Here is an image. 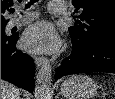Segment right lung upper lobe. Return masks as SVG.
Here are the masks:
<instances>
[{"mask_svg":"<svg viewBox=\"0 0 115 99\" xmlns=\"http://www.w3.org/2000/svg\"><path fill=\"white\" fill-rule=\"evenodd\" d=\"M13 0H1V23H7L8 20H5L4 13L12 7Z\"/></svg>","mask_w":115,"mask_h":99,"instance_id":"cb5924a9","label":"right lung upper lobe"}]
</instances>
